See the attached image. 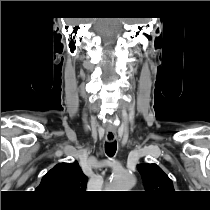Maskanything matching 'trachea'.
Listing matches in <instances>:
<instances>
[{"instance_id": "trachea-1", "label": "trachea", "mask_w": 210, "mask_h": 210, "mask_svg": "<svg viewBox=\"0 0 210 210\" xmlns=\"http://www.w3.org/2000/svg\"><path fill=\"white\" fill-rule=\"evenodd\" d=\"M117 148L116 141L105 143V152L109 157H113Z\"/></svg>"}]
</instances>
